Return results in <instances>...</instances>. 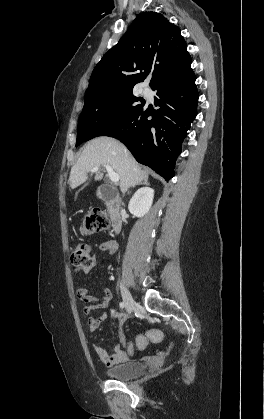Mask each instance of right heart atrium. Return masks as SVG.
<instances>
[{"mask_svg":"<svg viewBox=\"0 0 264 419\" xmlns=\"http://www.w3.org/2000/svg\"><path fill=\"white\" fill-rule=\"evenodd\" d=\"M110 112H111V114H113V113L115 112V108H112V109L110 110Z\"/></svg>","mask_w":264,"mask_h":419,"instance_id":"obj_1","label":"right heart atrium"}]
</instances>
